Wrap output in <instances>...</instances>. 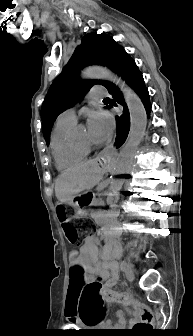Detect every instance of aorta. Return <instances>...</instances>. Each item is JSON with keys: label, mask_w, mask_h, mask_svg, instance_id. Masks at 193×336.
<instances>
[{"label": "aorta", "mask_w": 193, "mask_h": 336, "mask_svg": "<svg viewBox=\"0 0 193 336\" xmlns=\"http://www.w3.org/2000/svg\"><path fill=\"white\" fill-rule=\"evenodd\" d=\"M84 78H101L115 82L119 85L124 99L126 101L129 114H130V133L127 142L123 146L119 158L114 165L113 175L114 178L110 184L111 196L117 197L123 186V175H126L133 164L135 153L138 149L140 142L142 141L146 126H147V114L145 107L138 97V95L124 82H122L115 74L105 67H88L82 72ZM111 204H115L114 201Z\"/></svg>", "instance_id": "obj_1"}]
</instances>
